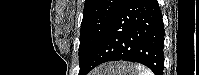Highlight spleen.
<instances>
[{
  "label": "spleen",
  "instance_id": "spleen-1",
  "mask_svg": "<svg viewBox=\"0 0 199 75\" xmlns=\"http://www.w3.org/2000/svg\"><path fill=\"white\" fill-rule=\"evenodd\" d=\"M135 68L138 71V73H137L138 75H153V72L150 69L145 68L141 65L137 64V65H135Z\"/></svg>",
  "mask_w": 199,
  "mask_h": 75
}]
</instances>
